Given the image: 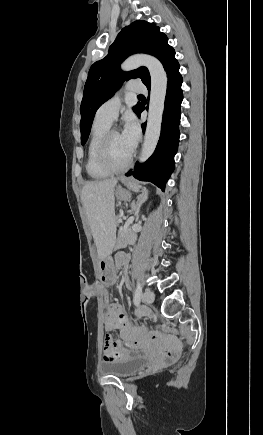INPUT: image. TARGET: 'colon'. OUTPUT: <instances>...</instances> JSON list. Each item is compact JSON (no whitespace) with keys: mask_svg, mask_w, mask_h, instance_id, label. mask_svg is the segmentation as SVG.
Masks as SVG:
<instances>
[{"mask_svg":"<svg viewBox=\"0 0 263 435\" xmlns=\"http://www.w3.org/2000/svg\"><path fill=\"white\" fill-rule=\"evenodd\" d=\"M155 328L158 329L160 332H167L168 334H172V335H178L180 333L178 330H171L165 324H156ZM123 342L125 343L126 340ZM102 343H103V348L105 350H110L113 344V335L106 334V337L102 340Z\"/></svg>","mask_w":263,"mask_h":435,"instance_id":"1","label":"colon"}]
</instances>
